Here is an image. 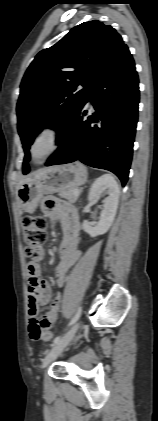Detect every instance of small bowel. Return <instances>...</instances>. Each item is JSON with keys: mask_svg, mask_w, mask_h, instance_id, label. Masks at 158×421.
Listing matches in <instances>:
<instances>
[{"mask_svg": "<svg viewBox=\"0 0 158 421\" xmlns=\"http://www.w3.org/2000/svg\"><path fill=\"white\" fill-rule=\"evenodd\" d=\"M42 211L52 220L58 221L63 232V239L59 246L60 261L55 270V281L62 287L67 271L81 256L78 248L79 216L75 208L56 197L45 198ZM43 257L44 250L40 248L36 258L27 264L29 331L32 338L35 330L51 332V328L58 319L61 305L60 294L51 301V287L41 275L39 262ZM45 305H48L47 313L39 319V309Z\"/></svg>", "mask_w": 158, "mask_h": 421, "instance_id": "small-bowel-1", "label": "small bowel"}]
</instances>
